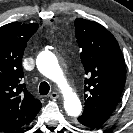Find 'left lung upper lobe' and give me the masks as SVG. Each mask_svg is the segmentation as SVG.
<instances>
[{
    "label": "left lung upper lobe",
    "mask_w": 133,
    "mask_h": 133,
    "mask_svg": "<svg viewBox=\"0 0 133 133\" xmlns=\"http://www.w3.org/2000/svg\"><path fill=\"white\" fill-rule=\"evenodd\" d=\"M75 33L87 75L84 111L110 117L126 80L125 62L118 42L102 25L82 18L75 20Z\"/></svg>",
    "instance_id": "1"
}]
</instances>
